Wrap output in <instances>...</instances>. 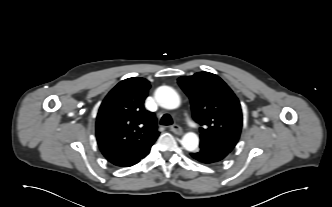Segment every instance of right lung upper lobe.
Returning <instances> with one entry per match:
<instances>
[{
	"label": "right lung upper lobe",
	"mask_w": 332,
	"mask_h": 207,
	"mask_svg": "<svg viewBox=\"0 0 332 207\" xmlns=\"http://www.w3.org/2000/svg\"><path fill=\"white\" fill-rule=\"evenodd\" d=\"M149 81L128 78L105 97L96 119V137L102 154L116 166L137 164L159 136L155 115L144 108Z\"/></svg>",
	"instance_id": "1"
}]
</instances>
